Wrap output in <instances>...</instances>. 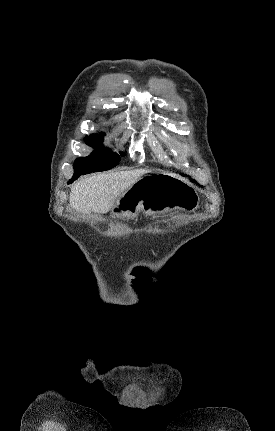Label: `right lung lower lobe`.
I'll return each instance as SVG.
<instances>
[{"instance_id":"right-lung-lower-lobe-1","label":"right lung lower lobe","mask_w":275,"mask_h":431,"mask_svg":"<svg viewBox=\"0 0 275 431\" xmlns=\"http://www.w3.org/2000/svg\"><path fill=\"white\" fill-rule=\"evenodd\" d=\"M77 179V178H76ZM74 178H72L68 183H72L74 180H76Z\"/></svg>"}]
</instances>
